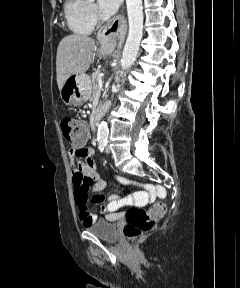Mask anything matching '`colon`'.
Segmentation results:
<instances>
[{
    "mask_svg": "<svg viewBox=\"0 0 240 288\" xmlns=\"http://www.w3.org/2000/svg\"><path fill=\"white\" fill-rule=\"evenodd\" d=\"M60 128L63 137L71 143L83 141L87 137L85 124L74 118H63ZM165 211L166 206L162 201L156 202L149 209L130 208L126 213L124 235L129 239L137 238L142 233L150 230L163 217Z\"/></svg>",
    "mask_w": 240,
    "mask_h": 288,
    "instance_id": "1",
    "label": "colon"
}]
</instances>
